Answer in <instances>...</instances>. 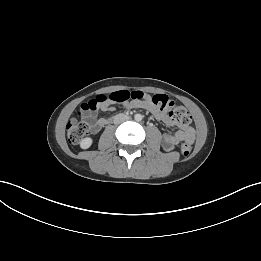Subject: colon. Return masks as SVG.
Returning <instances> with one entry per match:
<instances>
[{
  "mask_svg": "<svg viewBox=\"0 0 261 261\" xmlns=\"http://www.w3.org/2000/svg\"><path fill=\"white\" fill-rule=\"evenodd\" d=\"M152 102L161 112H168L169 117L174 123L187 125L191 121L188 110L180 105H175L173 100L166 95L158 94L149 96L141 91L121 90L110 95H99L85 100L81 106L77 117L71 118L66 125V132L69 142L79 143L89 131V124L84 119L90 117L91 113L105 106L108 103L127 105L137 104L143 101ZM193 141L190 138L185 139L180 146L181 154L189 157L192 154Z\"/></svg>",
  "mask_w": 261,
  "mask_h": 261,
  "instance_id": "1",
  "label": "colon"
}]
</instances>
